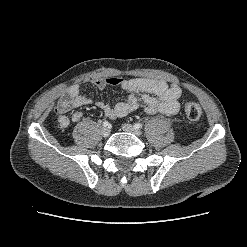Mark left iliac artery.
I'll return each mask as SVG.
<instances>
[{
	"mask_svg": "<svg viewBox=\"0 0 247 247\" xmlns=\"http://www.w3.org/2000/svg\"><path fill=\"white\" fill-rule=\"evenodd\" d=\"M134 128H135V129H140V128H142V124L139 123V122H138V123H135V124H134Z\"/></svg>",
	"mask_w": 247,
	"mask_h": 247,
	"instance_id": "left-iliac-artery-1",
	"label": "left iliac artery"
}]
</instances>
